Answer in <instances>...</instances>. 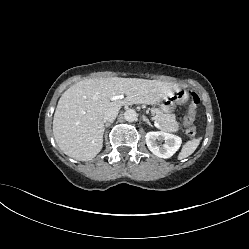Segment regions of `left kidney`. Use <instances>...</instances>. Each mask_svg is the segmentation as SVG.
<instances>
[{
	"instance_id": "left-kidney-1",
	"label": "left kidney",
	"mask_w": 249,
	"mask_h": 249,
	"mask_svg": "<svg viewBox=\"0 0 249 249\" xmlns=\"http://www.w3.org/2000/svg\"><path fill=\"white\" fill-rule=\"evenodd\" d=\"M146 144L149 150L160 158L172 157L180 148L182 140L179 136L169 134L163 131H152L146 133ZM164 144L158 145V141Z\"/></svg>"
}]
</instances>
